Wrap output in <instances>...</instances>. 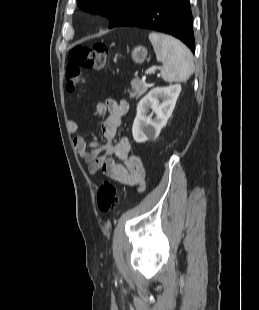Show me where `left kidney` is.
<instances>
[{
	"mask_svg": "<svg viewBox=\"0 0 259 310\" xmlns=\"http://www.w3.org/2000/svg\"><path fill=\"white\" fill-rule=\"evenodd\" d=\"M180 92V84L155 87L140 100L132 127L133 138L137 143L154 140L159 136L175 108ZM149 108L156 115L154 119L152 115L147 116Z\"/></svg>",
	"mask_w": 259,
	"mask_h": 310,
	"instance_id": "5707ae66",
	"label": "left kidney"
}]
</instances>
